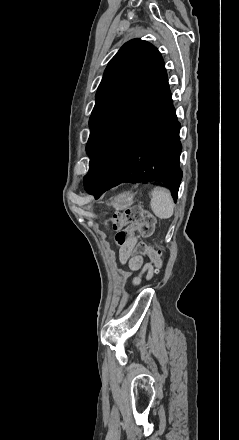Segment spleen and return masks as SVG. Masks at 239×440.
<instances>
[{
	"label": "spleen",
	"instance_id": "1",
	"mask_svg": "<svg viewBox=\"0 0 239 440\" xmlns=\"http://www.w3.org/2000/svg\"><path fill=\"white\" fill-rule=\"evenodd\" d=\"M151 208L157 218H161V220L171 218L174 212L171 192L166 190V188H153Z\"/></svg>",
	"mask_w": 239,
	"mask_h": 440
}]
</instances>
